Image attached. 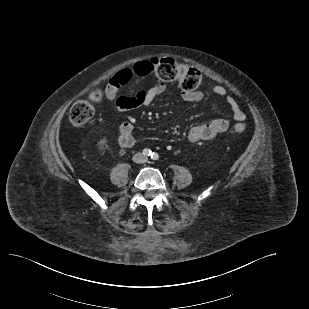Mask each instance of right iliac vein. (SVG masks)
I'll return each instance as SVG.
<instances>
[{"mask_svg":"<svg viewBox=\"0 0 309 309\" xmlns=\"http://www.w3.org/2000/svg\"><path fill=\"white\" fill-rule=\"evenodd\" d=\"M136 159H137V160H139V159H140V157H139V156H137V157H136Z\"/></svg>","mask_w":309,"mask_h":309,"instance_id":"63e3f726","label":"right iliac vein"}]
</instances>
